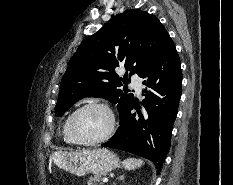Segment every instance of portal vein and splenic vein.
Wrapping results in <instances>:
<instances>
[{"label": "portal vein and splenic vein", "mask_w": 233, "mask_h": 185, "mask_svg": "<svg viewBox=\"0 0 233 185\" xmlns=\"http://www.w3.org/2000/svg\"><path fill=\"white\" fill-rule=\"evenodd\" d=\"M102 182H103V183L108 182V178H103V179H102Z\"/></svg>", "instance_id": "obj_1"}]
</instances>
